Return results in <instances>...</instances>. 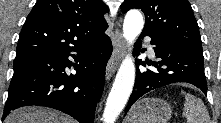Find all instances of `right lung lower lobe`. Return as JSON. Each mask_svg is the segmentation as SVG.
Segmentation results:
<instances>
[{"mask_svg": "<svg viewBox=\"0 0 221 123\" xmlns=\"http://www.w3.org/2000/svg\"><path fill=\"white\" fill-rule=\"evenodd\" d=\"M111 53V40L104 34L63 52L36 54L14 61V75L4 112L38 105L60 110L80 123H94ZM69 56L79 64L74 65ZM71 66L77 73L68 76L65 68Z\"/></svg>", "mask_w": 221, "mask_h": 123, "instance_id": "98d812e1", "label": "right lung lower lobe"}]
</instances>
